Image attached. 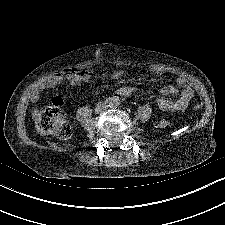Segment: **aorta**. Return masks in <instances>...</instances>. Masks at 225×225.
Instances as JSON below:
<instances>
[{
	"label": "aorta",
	"instance_id": "762f6f07",
	"mask_svg": "<svg viewBox=\"0 0 225 225\" xmlns=\"http://www.w3.org/2000/svg\"><path fill=\"white\" fill-rule=\"evenodd\" d=\"M119 104V99L117 97L112 98L110 105L111 106H117Z\"/></svg>",
	"mask_w": 225,
	"mask_h": 225
}]
</instances>
